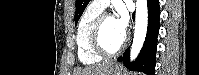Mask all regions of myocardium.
Masks as SVG:
<instances>
[{
    "label": "myocardium",
    "instance_id": "1",
    "mask_svg": "<svg viewBox=\"0 0 199 75\" xmlns=\"http://www.w3.org/2000/svg\"><path fill=\"white\" fill-rule=\"evenodd\" d=\"M110 17H112L111 14L105 12L98 15V17L93 22L89 32L90 45L94 52L100 55L101 57H109L118 54L124 49L128 40L127 36H124L121 44L113 50H108L103 46L101 42V29L104 21Z\"/></svg>",
    "mask_w": 199,
    "mask_h": 75
}]
</instances>
